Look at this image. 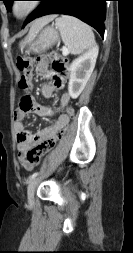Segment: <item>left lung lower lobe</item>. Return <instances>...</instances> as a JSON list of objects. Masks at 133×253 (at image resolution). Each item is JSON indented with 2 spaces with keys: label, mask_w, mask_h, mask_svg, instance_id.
I'll return each instance as SVG.
<instances>
[{
  "label": "left lung lower lobe",
  "mask_w": 133,
  "mask_h": 253,
  "mask_svg": "<svg viewBox=\"0 0 133 253\" xmlns=\"http://www.w3.org/2000/svg\"><path fill=\"white\" fill-rule=\"evenodd\" d=\"M41 5L33 11L24 25L48 14H66L94 27L104 37L107 0H37Z\"/></svg>",
  "instance_id": "0a47b994"
}]
</instances>
